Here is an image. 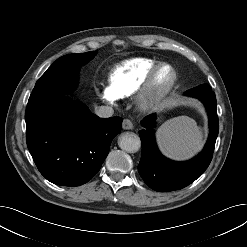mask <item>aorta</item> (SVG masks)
Wrapping results in <instances>:
<instances>
[{"label":"aorta","mask_w":247,"mask_h":247,"mask_svg":"<svg viewBox=\"0 0 247 247\" xmlns=\"http://www.w3.org/2000/svg\"><path fill=\"white\" fill-rule=\"evenodd\" d=\"M118 145L125 152L135 153L140 149L141 141L135 133H123L118 138Z\"/></svg>","instance_id":"aorta-1"}]
</instances>
